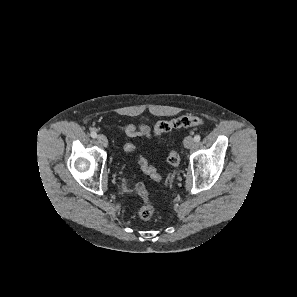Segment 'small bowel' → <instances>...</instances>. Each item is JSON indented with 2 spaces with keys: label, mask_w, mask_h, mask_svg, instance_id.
Listing matches in <instances>:
<instances>
[{
  "label": "small bowel",
  "mask_w": 297,
  "mask_h": 297,
  "mask_svg": "<svg viewBox=\"0 0 297 297\" xmlns=\"http://www.w3.org/2000/svg\"><path fill=\"white\" fill-rule=\"evenodd\" d=\"M118 129L122 131V133L127 137H138V136L150 137V129L146 125H140L139 127H136L134 124L127 123V124L118 126Z\"/></svg>",
  "instance_id": "obj_1"
}]
</instances>
